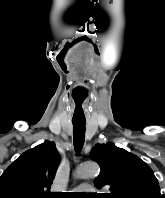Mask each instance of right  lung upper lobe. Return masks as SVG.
I'll return each instance as SVG.
<instances>
[{
  "instance_id": "1",
  "label": "right lung upper lobe",
  "mask_w": 165,
  "mask_h": 198,
  "mask_svg": "<svg viewBox=\"0 0 165 198\" xmlns=\"http://www.w3.org/2000/svg\"><path fill=\"white\" fill-rule=\"evenodd\" d=\"M61 157L46 141L24 152L0 177V198H51L49 191Z\"/></svg>"
}]
</instances>
